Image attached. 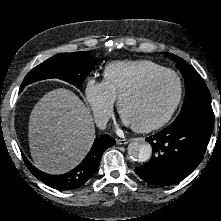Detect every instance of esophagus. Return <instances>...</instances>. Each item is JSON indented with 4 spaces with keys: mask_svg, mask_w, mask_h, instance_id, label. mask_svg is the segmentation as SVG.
Returning a JSON list of instances; mask_svg holds the SVG:
<instances>
[{
    "mask_svg": "<svg viewBox=\"0 0 221 221\" xmlns=\"http://www.w3.org/2000/svg\"><path fill=\"white\" fill-rule=\"evenodd\" d=\"M130 141H131L130 139H116V144L124 145V144H128Z\"/></svg>",
    "mask_w": 221,
    "mask_h": 221,
    "instance_id": "obj_1",
    "label": "esophagus"
}]
</instances>
